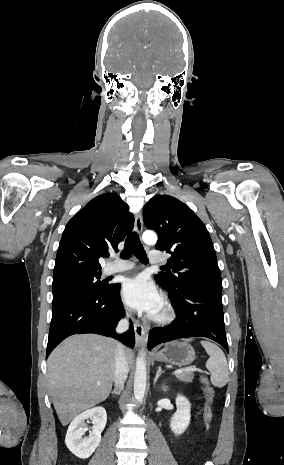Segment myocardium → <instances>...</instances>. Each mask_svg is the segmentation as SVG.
Returning <instances> with one entry per match:
<instances>
[{
    "label": "myocardium",
    "mask_w": 284,
    "mask_h": 465,
    "mask_svg": "<svg viewBox=\"0 0 284 465\" xmlns=\"http://www.w3.org/2000/svg\"><path fill=\"white\" fill-rule=\"evenodd\" d=\"M161 313L151 316V320L158 325H168L175 320V311L171 303L164 299L160 307Z\"/></svg>",
    "instance_id": "f54148a6"
}]
</instances>
